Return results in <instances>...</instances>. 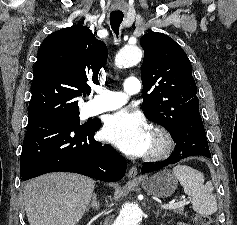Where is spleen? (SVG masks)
<instances>
[{"label": "spleen", "mask_w": 237, "mask_h": 225, "mask_svg": "<svg viewBox=\"0 0 237 225\" xmlns=\"http://www.w3.org/2000/svg\"><path fill=\"white\" fill-rule=\"evenodd\" d=\"M173 175L183 186L185 194L192 198L195 212L207 216L217 211L212 183L204 184V176L201 172L187 165H177L173 168Z\"/></svg>", "instance_id": "obj_1"}]
</instances>
